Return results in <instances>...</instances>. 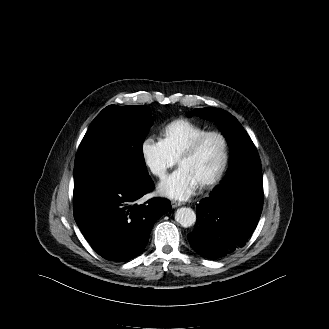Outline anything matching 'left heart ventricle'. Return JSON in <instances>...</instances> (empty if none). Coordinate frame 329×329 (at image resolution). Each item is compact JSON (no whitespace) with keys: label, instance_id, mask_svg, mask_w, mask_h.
I'll return each mask as SVG.
<instances>
[{"label":"left heart ventricle","instance_id":"left-heart-ventricle-1","mask_svg":"<svg viewBox=\"0 0 329 329\" xmlns=\"http://www.w3.org/2000/svg\"><path fill=\"white\" fill-rule=\"evenodd\" d=\"M223 158V145L216 136L206 138L197 152L179 164L199 183L212 176L219 168Z\"/></svg>","mask_w":329,"mask_h":329}]
</instances>
